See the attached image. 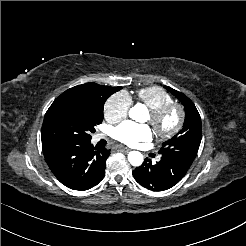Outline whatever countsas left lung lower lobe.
<instances>
[{
  "label": "left lung lower lobe",
  "instance_id": "left-lung-lower-lobe-1",
  "mask_svg": "<svg viewBox=\"0 0 246 246\" xmlns=\"http://www.w3.org/2000/svg\"><path fill=\"white\" fill-rule=\"evenodd\" d=\"M181 164L174 162L166 156L156 164L146 158L140 167L133 171L135 180L152 191H163L176 185L186 174Z\"/></svg>",
  "mask_w": 246,
  "mask_h": 246
}]
</instances>
